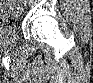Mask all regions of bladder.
Instances as JSON below:
<instances>
[{
    "label": "bladder",
    "instance_id": "obj_1",
    "mask_svg": "<svg viewBox=\"0 0 93 83\" xmlns=\"http://www.w3.org/2000/svg\"><path fill=\"white\" fill-rule=\"evenodd\" d=\"M12 35H13V31H12L11 29H4V30L1 32L0 40H1V41H5V40H7L8 38H10Z\"/></svg>",
    "mask_w": 93,
    "mask_h": 83
}]
</instances>
